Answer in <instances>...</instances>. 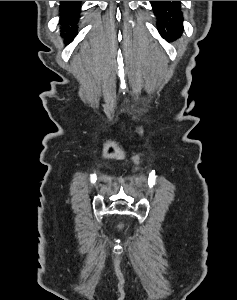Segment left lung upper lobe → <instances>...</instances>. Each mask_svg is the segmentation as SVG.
I'll use <instances>...</instances> for the list:
<instances>
[{
    "label": "left lung upper lobe",
    "instance_id": "obj_1",
    "mask_svg": "<svg viewBox=\"0 0 237 300\" xmlns=\"http://www.w3.org/2000/svg\"><path fill=\"white\" fill-rule=\"evenodd\" d=\"M152 5L157 17L158 30L170 37L183 29V16L180 1H154Z\"/></svg>",
    "mask_w": 237,
    "mask_h": 300
}]
</instances>
